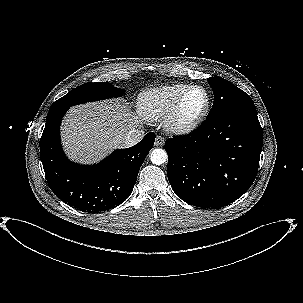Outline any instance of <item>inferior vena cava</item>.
Listing matches in <instances>:
<instances>
[{
  "label": "inferior vena cava",
  "instance_id": "obj_1",
  "mask_svg": "<svg viewBox=\"0 0 303 303\" xmlns=\"http://www.w3.org/2000/svg\"><path fill=\"white\" fill-rule=\"evenodd\" d=\"M144 137V131L143 130H138V129H133L128 131L123 140H122V147H132L135 144H137L139 141H141Z\"/></svg>",
  "mask_w": 303,
  "mask_h": 303
}]
</instances>
